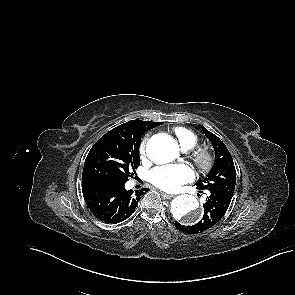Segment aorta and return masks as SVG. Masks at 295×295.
<instances>
[{"mask_svg": "<svg viewBox=\"0 0 295 295\" xmlns=\"http://www.w3.org/2000/svg\"><path fill=\"white\" fill-rule=\"evenodd\" d=\"M146 152L152 161L165 164L179 156V145L171 136L157 134L149 139ZM198 205V201L194 196L179 195L171 203V214L176 220L194 224L200 220Z\"/></svg>", "mask_w": 295, "mask_h": 295, "instance_id": "1", "label": "aorta"}]
</instances>
